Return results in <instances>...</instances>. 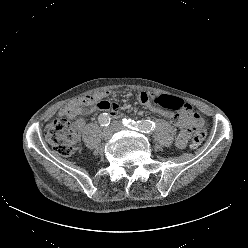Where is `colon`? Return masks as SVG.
<instances>
[{"label": "colon", "mask_w": 248, "mask_h": 248, "mask_svg": "<svg viewBox=\"0 0 248 248\" xmlns=\"http://www.w3.org/2000/svg\"><path fill=\"white\" fill-rule=\"evenodd\" d=\"M152 103L163 109L170 111H178L186 108L184 102L174 96L159 95L152 97ZM91 104L84 101L80 107L81 113H88ZM74 114L65 118H57L49 123L45 129V137L52 149L62 157L70 156L78 141V124L72 121ZM205 138V129L202 123H199L194 129V136L191 142L192 147H199Z\"/></svg>", "instance_id": "colon-1"}]
</instances>
